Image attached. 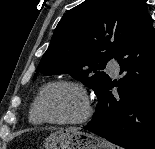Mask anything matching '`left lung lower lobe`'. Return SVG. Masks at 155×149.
I'll list each match as a JSON object with an SVG mask.
<instances>
[{
  "label": "left lung lower lobe",
  "mask_w": 155,
  "mask_h": 149,
  "mask_svg": "<svg viewBox=\"0 0 155 149\" xmlns=\"http://www.w3.org/2000/svg\"><path fill=\"white\" fill-rule=\"evenodd\" d=\"M149 15L116 54L119 96L111 81L99 92L97 111L83 129L126 149H155V28Z\"/></svg>",
  "instance_id": "obj_1"
}]
</instances>
